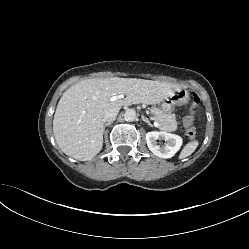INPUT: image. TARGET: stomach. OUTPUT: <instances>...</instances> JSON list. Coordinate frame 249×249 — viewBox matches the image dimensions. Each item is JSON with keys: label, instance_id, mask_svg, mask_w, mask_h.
I'll list each match as a JSON object with an SVG mask.
<instances>
[{"label": "stomach", "instance_id": "1", "mask_svg": "<svg viewBox=\"0 0 249 249\" xmlns=\"http://www.w3.org/2000/svg\"><path fill=\"white\" fill-rule=\"evenodd\" d=\"M181 97H179L177 94H173L172 96L165 99V101L161 104V110L165 113L172 112L176 104L179 102Z\"/></svg>", "mask_w": 249, "mask_h": 249}]
</instances>
